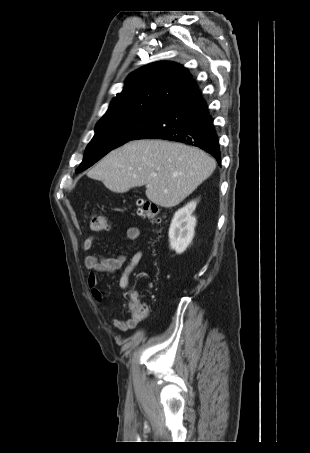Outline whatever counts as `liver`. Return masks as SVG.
Instances as JSON below:
<instances>
[{"mask_svg": "<svg viewBox=\"0 0 310 453\" xmlns=\"http://www.w3.org/2000/svg\"><path fill=\"white\" fill-rule=\"evenodd\" d=\"M215 168V160L198 148L165 140H134L111 151L87 175L115 193L146 185L149 200L171 208Z\"/></svg>", "mask_w": 310, "mask_h": 453, "instance_id": "liver-1", "label": "liver"}]
</instances>
